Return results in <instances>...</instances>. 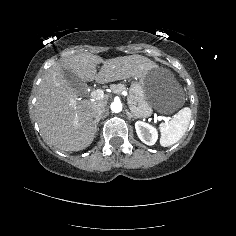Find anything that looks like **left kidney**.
<instances>
[{"mask_svg":"<svg viewBox=\"0 0 236 236\" xmlns=\"http://www.w3.org/2000/svg\"><path fill=\"white\" fill-rule=\"evenodd\" d=\"M136 133L139 139L146 145H154L158 139V132L156 128L143 121L135 123Z\"/></svg>","mask_w":236,"mask_h":236,"instance_id":"left-kidney-1","label":"left kidney"}]
</instances>
